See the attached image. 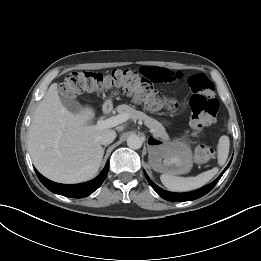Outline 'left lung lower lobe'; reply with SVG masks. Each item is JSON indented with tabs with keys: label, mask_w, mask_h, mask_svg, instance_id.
I'll return each instance as SVG.
<instances>
[{
	"label": "left lung lower lobe",
	"mask_w": 261,
	"mask_h": 261,
	"mask_svg": "<svg viewBox=\"0 0 261 261\" xmlns=\"http://www.w3.org/2000/svg\"><path fill=\"white\" fill-rule=\"evenodd\" d=\"M231 163V161H230ZM230 163L228 164V166L230 165ZM228 166L224 169V171L219 175V177L214 180L212 183L196 190L193 192H189V193H173V192H168L165 191L163 189H161L160 187H158L156 184H154L150 178L148 177V175L146 174V172L144 171V174L146 176L147 181L149 182V184L152 186V188L165 200L168 201H177V202H182V201H190V200H194V199H198L202 196H204L205 194H207L215 185L216 183L219 181V179L221 178V176L224 174V172L226 171V169L228 168Z\"/></svg>",
	"instance_id": "obj_1"
}]
</instances>
